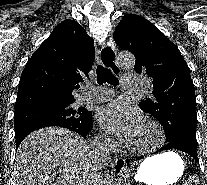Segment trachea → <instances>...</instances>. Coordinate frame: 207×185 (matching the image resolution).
Instances as JSON below:
<instances>
[{
    "mask_svg": "<svg viewBox=\"0 0 207 185\" xmlns=\"http://www.w3.org/2000/svg\"><path fill=\"white\" fill-rule=\"evenodd\" d=\"M107 55H113V51L109 47L104 48L101 53L102 61L106 65V67H107ZM96 73H97V82L99 84L105 82H108L111 85L118 84L117 78L112 74L111 70H109L108 68H104L101 65H99L97 67Z\"/></svg>",
    "mask_w": 207,
    "mask_h": 185,
    "instance_id": "3493384b",
    "label": "trachea"
}]
</instances>
